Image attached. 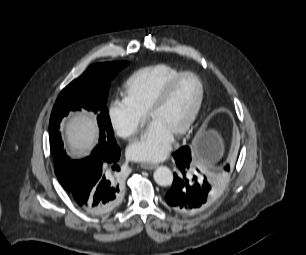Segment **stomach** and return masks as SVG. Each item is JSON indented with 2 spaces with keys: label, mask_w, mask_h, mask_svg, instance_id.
<instances>
[{
  "label": "stomach",
  "mask_w": 306,
  "mask_h": 255,
  "mask_svg": "<svg viewBox=\"0 0 306 255\" xmlns=\"http://www.w3.org/2000/svg\"><path fill=\"white\" fill-rule=\"evenodd\" d=\"M222 140L215 130H200L193 143L196 158L204 163H216L222 155Z\"/></svg>",
  "instance_id": "stomach-1"
}]
</instances>
